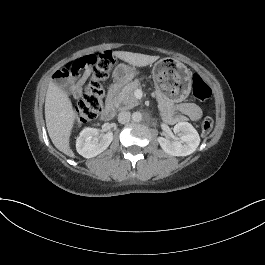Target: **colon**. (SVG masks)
Wrapping results in <instances>:
<instances>
[{
    "mask_svg": "<svg viewBox=\"0 0 265 265\" xmlns=\"http://www.w3.org/2000/svg\"><path fill=\"white\" fill-rule=\"evenodd\" d=\"M115 62L110 51H103L74 59L55 73V78L64 79L80 70L88 69L92 72V80L75 107L78 123L94 119L102 110L104 89L102 81L105 80ZM208 84L198 75L192 77V94L198 101H205L211 96ZM211 117H205L201 123V132L208 135L213 129Z\"/></svg>",
    "mask_w": 265,
    "mask_h": 265,
    "instance_id": "1",
    "label": "colon"
}]
</instances>
